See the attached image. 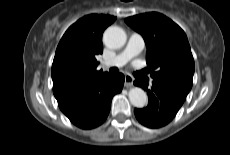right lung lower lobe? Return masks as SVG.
<instances>
[{
	"label": "right lung lower lobe",
	"mask_w": 230,
	"mask_h": 155,
	"mask_svg": "<svg viewBox=\"0 0 230 155\" xmlns=\"http://www.w3.org/2000/svg\"><path fill=\"white\" fill-rule=\"evenodd\" d=\"M123 84V74H108L79 92L57 98L58 105L73 124L92 129L106 120L112 98L121 92Z\"/></svg>",
	"instance_id": "98d812e1"
}]
</instances>
